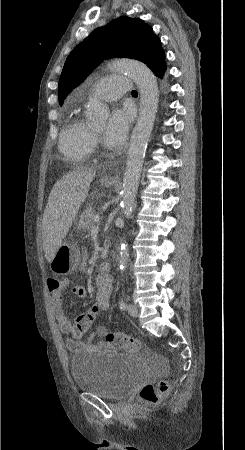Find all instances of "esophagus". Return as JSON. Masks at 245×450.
I'll return each mask as SVG.
<instances>
[{
	"instance_id": "obj_1",
	"label": "esophagus",
	"mask_w": 245,
	"mask_h": 450,
	"mask_svg": "<svg viewBox=\"0 0 245 450\" xmlns=\"http://www.w3.org/2000/svg\"><path fill=\"white\" fill-rule=\"evenodd\" d=\"M119 173H120V172H119V169H116V170L114 171L113 174L106 175V176H105V179H107V180H113V179H116V178H118Z\"/></svg>"
}]
</instances>
